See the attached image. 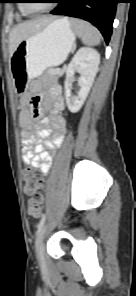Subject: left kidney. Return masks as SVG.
I'll return each instance as SVG.
<instances>
[{
  "label": "left kidney",
  "mask_w": 136,
  "mask_h": 296,
  "mask_svg": "<svg viewBox=\"0 0 136 296\" xmlns=\"http://www.w3.org/2000/svg\"><path fill=\"white\" fill-rule=\"evenodd\" d=\"M99 63L100 55L95 49L82 47L75 53L68 65L64 83L66 103L70 112L77 113L84 104L98 71ZM75 71L81 74V77L78 79L80 89L77 96H72L71 83Z\"/></svg>",
  "instance_id": "5707ae66"
}]
</instances>
